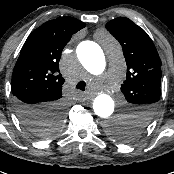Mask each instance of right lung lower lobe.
I'll list each match as a JSON object with an SVG mask.
<instances>
[{"mask_svg": "<svg viewBox=\"0 0 174 174\" xmlns=\"http://www.w3.org/2000/svg\"><path fill=\"white\" fill-rule=\"evenodd\" d=\"M32 99H33V97L28 96V95H18V96H16V109H17V113H18V115L20 117H21L20 112H31V111L35 110L33 108V106H38V104L34 105V104L28 103ZM46 104L47 105L48 104H52V105L57 106L58 109H62V105H61V103L59 101H56V102H53V103H45V102H43L40 105H46Z\"/></svg>", "mask_w": 174, "mask_h": 174, "instance_id": "obj_1", "label": "right lung lower lobe"}]
</instances>
